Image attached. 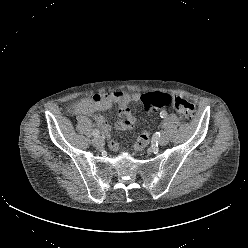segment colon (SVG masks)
<instances>
[{
	"label": "colon",
	"mask_w": 248,
	"mask_h": 248,
	"mask_svg": "<svg viewBox=\"0 0 248 248\" xmlns=\"http://www.w3.org/2000/svg\"><path fill=\"white\" fill-rule=\"evenodd\" d=\"M141 102L145 112H149L156 108L169 107L176 110L186 120H191L195 113L194 105L183 97L173 96L164 93H147L141 98ZM150 140L149 132L143 130L135 142L136 152L143 151Z\"/></svg>",
	"instance_id": "obj_1"
}]
</instances>
